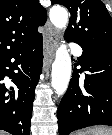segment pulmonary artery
<instances>
[{"label": "pulmonary artery", "mask_w": 112, "mask_h": 135, "mask_svg": "<svg viewBox=\"0 0 112 135\" xmlns=\"http://www.w3.org/2000/svg\"><path fill=\"white\" fill-rule=\"evenodd\" d=\"M71 49H72V52L75 54V55H80L81 52H82V49L79 45L77 44H71Z\"/></svg>", "instance_id": "1"}]
</instances>
